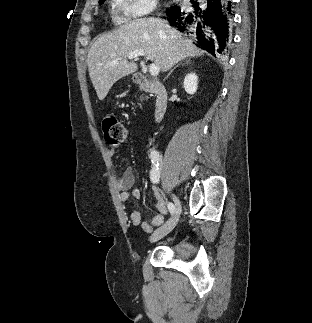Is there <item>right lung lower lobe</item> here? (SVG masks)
<instances>
[{
  "instance_id": "right-lung-lower-lobe-1",
  "label": "right lung lower lobe",
  "mask_w": 312,
  "mask_h": 323,
  "mask_svg": "<svg viewBox=\"0 0 312 323\" xmlns=\"http://www.w3.org/2000/svg\"><path fill=\"white\" fill-rule=\"evenodd\" d=\"M234 4L230 0H191L186 9L172 6L166 15L179 31L193 34L198 47L215 57L223 56L231 43Z\"/></svg>"
}]
</instances>
